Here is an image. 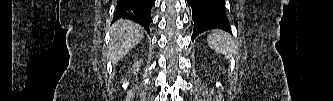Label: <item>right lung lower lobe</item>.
<instances>
[{
    "label": "right lung lower lobe",
    "instance_id": "98d812e1",
    "mask_svg": "<svg viewBox=\"0 0 333 101\" xmlns=\"http://www.w3.org/2000/svg\"><path fill=\"white\" fill-rule=\"evenodd\" d=\"M154 0H118L114 17L129 19L140 24L146 31L152 22L151 8Z\"/></svg>",
    "mask_w": 333,
    "mask_h": 101
}]
</instances>
